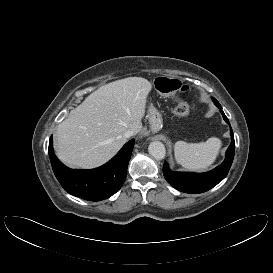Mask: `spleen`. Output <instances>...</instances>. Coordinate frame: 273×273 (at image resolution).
Instances as JSON below:
<instances>
[{
	"instance_id": "obj_1",
	"label": "spleen",
	"mask_w": 273,
	"mask_h": 273,
	"mask_svg": "<svg viewBox=\"0 0 273 273\" xmlns=\"http://www.w3.org/2000/svg\"><path fill=\"white\" fill-rule=\"evenodd\" d=\"M221 145V140L215 137L200 143L177 141L174 146L175 159L187 170L204 171L215 162Z\"/></svg>"
}]
</instances>
